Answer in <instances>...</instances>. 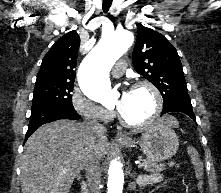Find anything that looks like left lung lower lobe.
Masks as SVG:
<instances>
[{
  "label": "left lung lower lobe",
  "mask_w": 221,
  "mask_h": 193,
  "mask_svg": "<svg viewBox=\"0 0 221 193\" xmlns=\"http://www.w3.org/2000/svg\"><path fill=\"white\" fill-rule=\"evenodd\" d=\"M169 112H182L191 117L195 122V115L190 101L176 102L163 108L161 115Z\"/></svg>",
  "instance_id": "1"
}]
</instances>
